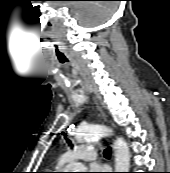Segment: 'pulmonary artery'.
Masks as SVG:
<instances>
[{
  "mask_svg": "<svg viewBox=\"0 0 170 173\" xmlns=\"http://www.w3.org/2000/svg\"><path fill=\"white\" fill-rule=\"evenodd\" d=\"M97 157V152L92 144L78 145L74 149L68 151L62 156L65 163L75 161H92Z\"/></svg>",
  "mask_w": 170,
  "mask_h": 173,
  "instance_id": "obj_1",
  "label": "pulmonary artery"
}]
</instances>
